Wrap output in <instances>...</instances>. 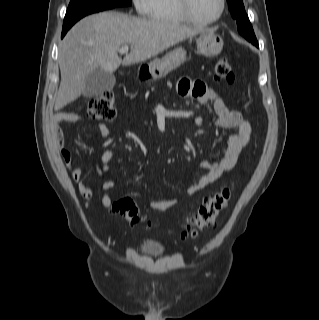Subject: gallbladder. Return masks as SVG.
I'll list each match as a JSON object with an SVG mask.
<instances>
[{"mask_svg":"<svg viewBox=\"0 0 319 320\" xmlns=\"http://www.w3.org/2000/svg\"><path fill=\"white\" fill-rule=\"evenodd\" d=\"M116 83L115 77L112 73L104 71L103 69H96L86 77L85 89L83 96L96 97L104 94L106 91L112 90Z\"/></svg>","mask_w":319,"mask_h":320,"instance_id":"1","label":"gallbladder"}]
</instances>
